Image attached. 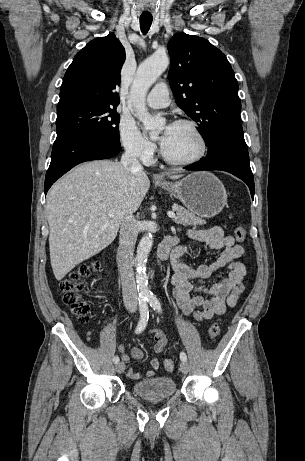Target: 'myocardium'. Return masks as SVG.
Masks as SVG:
<instances>
[{"instance_id":"obj_1","label":"myocardium","mask_w":305,"mask_h":461,"mask_svg":"<svg viewBox=\"0 0 305 461\" xmlns=\"http://www.w3.org/2000/svg\"><path fill=\"white\" fill-rule=\"evenodd\" d=\"M174 125H181V126H186L188 127L196 136L198 142H199V150L198 152L191 158L188 159H174L167 155V153L164 151L163 146L161 147L160 153L165 162L171 165L175 166H190L198 163L200 160L204 158L207 152V142L204 134L198 127V125L191 120L188 119H179L175 121Z\"/></svg>"}]
</instances>
